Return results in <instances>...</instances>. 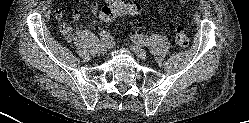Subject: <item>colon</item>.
I'll return each instance as SVG.
<instances>
[{
  "label": "colon",
  "instance_id": "obj_1",
  "mask_svg": "<svg viewBox=\"0 0 249 123\" xmlns=\"http://www.w3.org/2000/svg\"><path fill=\"white\" fill-rule=\"evenodd\" d=\"M180 4H183L185 0H178ZM141 6L135 2L129 3H111L106 4L100 9L99 15L102 20L110 21L116 18L120 14L128 16H136L140 14ZM175 41L180 47L186 48L190 45V39L187 36L183 27L178 26L175 29Z\"/></svg>",
  "mask_w": 249,
  "mask_h": 123
}]
</instances>
